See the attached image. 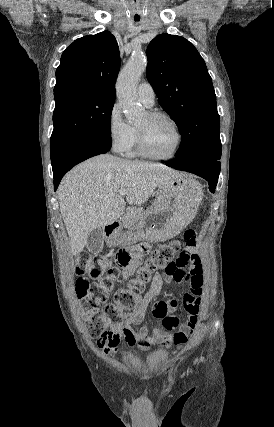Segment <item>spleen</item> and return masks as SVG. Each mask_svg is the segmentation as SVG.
<instances>
[{
    "mask_svg": "<svg viewBox=\"0 0 274 427\" xmlns=\"http://www.w3.org/2000/svg\"><path fill=\"white\" fill-rule=\"evenodd\" d=\"M192 186H194V188H199L200 192H198L197 198H198L199 202H201V200H202V192H201V188H200L199 182H196V180H194Z\"/></svg>",
    "mask_w": 274,
    "mask_h": 427,
    "instance_id": "3e777b00",
    "label": "spleen"
}]
</instances>
